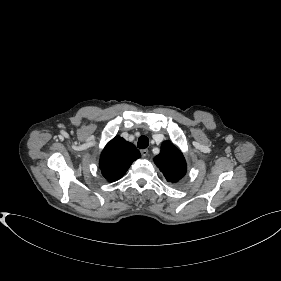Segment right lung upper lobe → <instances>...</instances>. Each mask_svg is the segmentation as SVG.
<instances>
[{
  "label": "right lung upper lobe",
  "instance_id": "cb5924a9",
  "mask_svg": "<svg viewBox=\"0 0 281 281\" xmlns=\"http://www.w3.org/2000/svg\"><path fill=\"white\" fill-rule=\"evenodd\" d=\"M139 157L141 154L132 143L116 136L102 151L99 166L103 176L114 182L120 179Z\"/></svg>",
  "mask_w": 281,
  "mask_h": 281
}]
</instances>
